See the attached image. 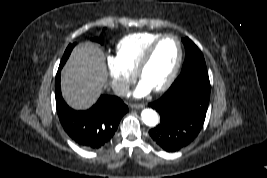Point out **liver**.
<instances>
[{
  "instance_id": "1",
  "label": "liver",
  "mask_w": 267,
  "mask_h": 178,
  "mask_svg": "<svg viewBox=\"0 0 267 178\" xmlns=\"http://www.w3.org/2000/svg\"><path fill=\"white\" fill-rule=\"evenodd\" d=\"M103 51L85 42L77 45L62 70L61 89L67 103L75 109L89 108L107 84Z\"/></svg>"
}]
</instances>
